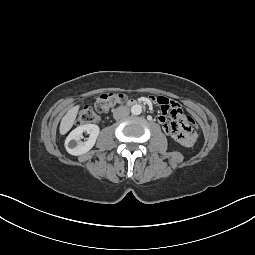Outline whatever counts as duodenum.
Listing matches in <instances>:
<instances>
[{
    "label": "duodenum",
    "mask_w": 255,
    "mask_h": 255,
    "mask_svg": "<svg viewBox=\"0 0 255 255\" xmlns=\"http://www.w3.org/2000/svg\"><path fill=\"white\" fill-rule=\"evenodd\" d=\"M137 103H138V101L135 100V99H128V100H126L123 104L128 105V106H131V105H135V104H137Z\"/></svg>",
    "instance_id": "1"
}]
</instances>
